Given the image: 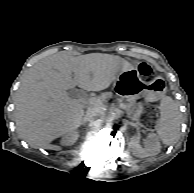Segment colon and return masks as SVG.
I'll return each mask as SVG.
<instances>
[{"mask_svg":"<svg viewBox=\"0 0 194 193\" xmlns=\"http://www.w3.org/2000/svg\"><path fill=\"white\" fill-rule=\"evenodd\" d=\"M138 72L140 73V75H142L143 77L145 78H148L152 75V67L151 65H149L148 63L146 62H143L139 65L138 67Z\"/></svg>","mask_w":194,"mask_h":193,"instance_id":"5ec220e1","label":"colon"}]
</instances>
